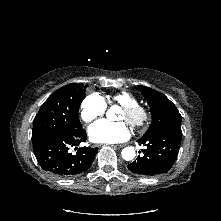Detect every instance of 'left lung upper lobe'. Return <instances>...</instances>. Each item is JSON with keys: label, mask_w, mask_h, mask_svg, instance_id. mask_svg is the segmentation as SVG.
I'll return each instance as SVG.
<instances>
[{"label": "left lung upper lobe", "mask_w": 221, "mask_h": 221, "mask_svg": "<svg viewBox=\"0 0 221 221\" xmlns=\"http://www.w3.org/2000/svg\"><path fill=\"white\" fill-rule=\"evenodd\" d=\"M137 88L149 103L152 115L150 128L143 137L162 129L181 130L182 117L166 96L149 87L137 86Z\"/></svg>", "instance_id": "1"}]
</instances>
